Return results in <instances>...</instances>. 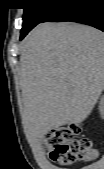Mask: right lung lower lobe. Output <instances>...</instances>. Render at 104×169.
<instances>
[{
	"label": "right lung lower lobe",
	"instance_id": "98d812e1",
	"mask_svg": "<svg viewBox=\"0 0 104 169\" xmlns=\"http://www.w3.org/2000/svg\"><path fill=\"white\" fill-rule=\"evenodd\" d=\"M58 4L42 22H77L104 31V0H55Z\"/></svg>",
	"mask_w": 104,
	"mask_h": 169
}]
</instances>
